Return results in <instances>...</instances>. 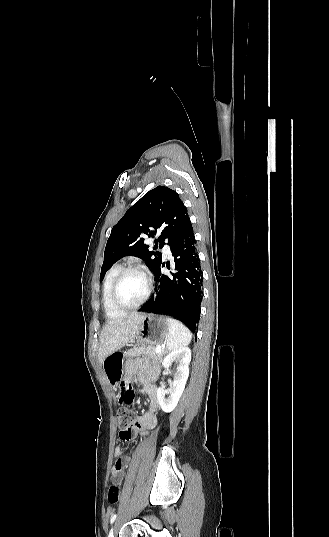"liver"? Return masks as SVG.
<instances>
[{
    "label": "liver",
    "mask_w": 329,
    "mask_h": 537,
    "mask_svg": "<svg viewBox=\"0 0 329 537\" xmlns=\"http://www.w3.org/2000/svg\"><path fill=\"white\" fill-rule=\"evenodd\" d=\"M142 320V315L134 313L128 317L107 321L100 334L98 354L100 364L108 355L119 350L135 337Z\"/></svg>",
    "instance_id": "liver-1"
}]
</instances>
